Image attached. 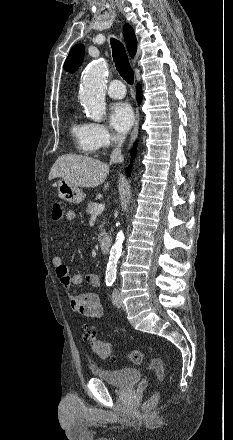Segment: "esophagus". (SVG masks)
I'll return each instance as SVG.
<instances>
[{"instance_id":"34e87169","label":"esophagus","mask_w":233,"mask_h":440,"mask_svg":"<svg viewBox=\"0 0 233 440\" xmlns=\"http://www.w3.org/2000/svg\"><path fill=\"white\" fill-rule=\"evenodd\" d=\"M138 129H139V114L137 113L136 122H135V125H134V128H133V131L131 133V137H130V142H129L128 148L131 147L133 141L135 140V138H136V136L138 134Z\"/></svg>"}]
</instances>
